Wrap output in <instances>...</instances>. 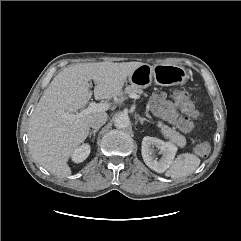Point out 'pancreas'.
Masks as SVG:
<instances>
[{
  "mask_svg": "<svg viewBox=\"0 0 241 241\" xmlns=\"http://www.w3.org/2000/svg\"><path fill=\"white\" fill-rule=\"evenodd\" d=\"M125 94H143L144 91L137 85L127 86L124 90ZM158 128H160L161 133L164 137L176 143L179 147H184L186 144V139L183 135L177 132L175 129L170 128L169 126L163 124V122H157Z\"/></svg>",
  "mask_w": 241,
  "mask_h": 241,
  "instance_id": "1",
  "label": "pancreas"
}]
</instances>
